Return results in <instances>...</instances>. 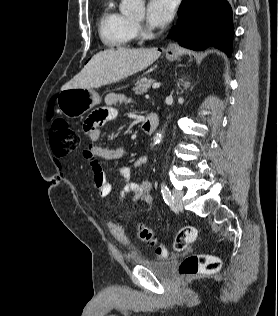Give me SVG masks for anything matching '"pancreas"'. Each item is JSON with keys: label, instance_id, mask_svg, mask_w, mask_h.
I'll use <instances>...</instances> for the list:
<instances>
[{"label": "pancreas", "instance_id": "pancreas-1", "mask_svg": "<svg viewBox=\"0 0 278 316\" xmlns=\"http://www.w3.org/2000/svg\"><path fill=\"white\" fill-rule=\"evenodd\" d=\"M152 79L142 78L136 82V87L134 88V92L136 95L146 93L150 86L153 84Z\"/></svg>", "mask_w": 278, "mask_h": 316}]
</instances>
